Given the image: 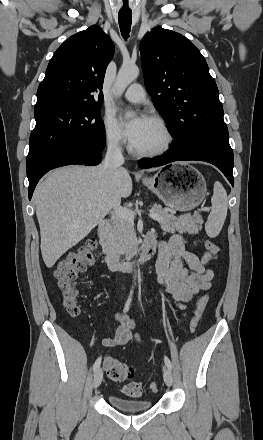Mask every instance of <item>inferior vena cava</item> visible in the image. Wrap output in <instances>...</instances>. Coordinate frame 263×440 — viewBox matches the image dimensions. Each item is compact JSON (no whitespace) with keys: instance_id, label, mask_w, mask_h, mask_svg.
<instances>
[{"instance_id":"obj_1","label":"inferior vena cava","mask_w":263,"mask_h":440,"mask_svg":"<svg viewBox=\"0 0 263 440\" xmlns=\"http://www.w3.org/2000/svg\"><path fill=\"white\" fill-rule=\"evenodd\" d=\"M124 164V158L122 155V148L118 143V139L114 138L109 141L105 160L103 162L104 170L107 172L110 178L115 180L118 172L123 169L121 166ZM113 200L116 204H120V197L113 195Z\"/></svg>"}]
</instances>
